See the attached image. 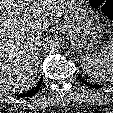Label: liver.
<instances>
[{"mask_svg":"<svg viewBox=\"0 0 113 113\" xmlns=\"http://www.w3.org/2000/svg\"><path fill=\"white\" fill-rule=\"evenodd\" d=\"M67 0H0V87L28 91L38 73L40 31L68 11Z\"/></svg>","mask_w":113,"mask_h":113,"instance_id":"1","label":"liver"}]
</instances>
